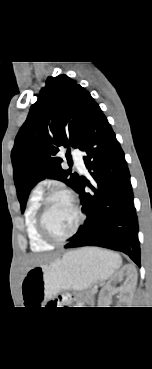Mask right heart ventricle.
I'll return each mask as SVG.
<instances>
[{
    "label": "right heart ventricle",
    "mask_w": 152,
    "mask_h": 369,
    "mask_svg": "<svg viewBox=\"0 0 152 369\" xmlns=\"http://www.w3.org/2000/svg\"><path fill=\"white\" fill-rule=\"evenodd\" d=\"M41 198V192L39 190H34L28 198L24 215L29 244L31 249L36 252L46 251L52 247V244L46 242L42 238L37 227V213Z\"/></svg>",
    "instance_id": "e07e8e85"
}]
</instances>
